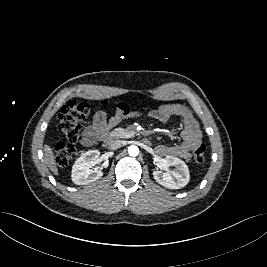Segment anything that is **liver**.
Returning a JSON list of instances; mask_svg holds the SVG:
<instances>
[{"label":"liver","mask_w":267,"mask_h":267,"mask_svg":"<svg viewBox=\"0 0 267 267\" xmlns=\"http://www.w3.org/2000/svg\"><path fill=\"white\" fill-rule=\"evenodd\" d=\"M44 159H45L46 165L50 168L52 173L54 175L58 176L59 173H58V169L56 167L55 156L53 154V150L47 144L44 145Z\"/></svg>","instance_id":"1"}]
</instances>
